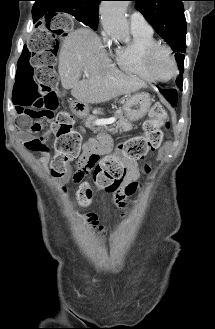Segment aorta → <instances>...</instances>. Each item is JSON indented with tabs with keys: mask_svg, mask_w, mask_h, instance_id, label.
Instances as JSON below:
<instances>
[{
	"mask_svg": "<svg viewBox=\"0 0 215 329\" xmlns=\"http://www.w3.org/2000/svg\"><path fill=\"white\" fill-rule=\"evenodd\" d=\"M127 5L128 1H103L100 6V18L104 30L111 37L121 41L129 37Z\"/></svg>",
	"mask_w": 215,
	"mask_h": 329,
	"instance_id": "obj_1",
	"label": "aorta"
}]
</instances>
